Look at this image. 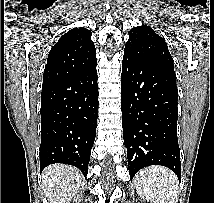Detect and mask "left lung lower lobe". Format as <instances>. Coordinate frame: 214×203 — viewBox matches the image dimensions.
<instances>
[{
  "label": "left lung lower lobe",
  "instance_id": "left-lung-lower-lobe-1",
  "mask_svg": "<svg viewBox=\"0 0 214 203\" xmlns=\"http://www.w3.org/2000/svg\"><path fill=\"white\" fill-rule=\"evenodd\" d=\"M177 100L175 73L124 54L121 109L131 177L146 166L162 165L181 180Z\"/></svg>",
  "mask_w": 214,
  "mask_h": 203
}]
</instances>
